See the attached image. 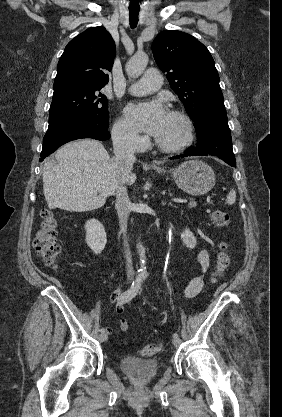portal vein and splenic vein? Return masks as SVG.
Here are the masks:
<instances>
[{"mask_svg": "<svg viewBox=\"0 0 282 417\" xmlns=\"http://www.w3.org/2000/svg\"><path fill=\"white\" fill-rule=\"evenodd\" d=\"M171 202L172 203H186V202H189V199H186V198H172Z\"/></svg>", "mask_w": 282, "mask_h": 417, "instance_id": "obj_1", "label": "portal vein and splenic vein"}]
</instances>
